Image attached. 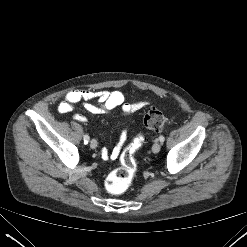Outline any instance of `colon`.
Masks as SVG:
<instances>
[{"label": "colon", "mask_w": 247, "mask_h": 247, "mask_svg": "<svg viewBox=\"0 0 247 247\" xmlns=\"http://www.w3.org/2000/svg\"><path fill=\"white\" fill-rule=\"evenodd\" d=\"M165 122L166 116L155 108H150L143 120L144 127L155 132L161 131ZM143 142L144 136L140 134L122 152L120 157L121 166L110 172L105 181L106 188L110 193L120 194L130 186L137 171L134 155Z\"/></svg>", "instance_id": "obj_1"}]
</instances>
